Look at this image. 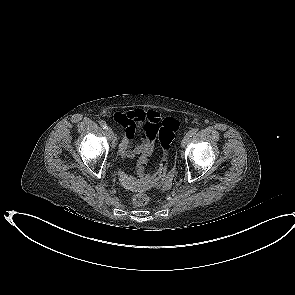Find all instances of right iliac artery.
Returning a JSON list of instances; mask_svg holds the SVG:
<instances>
[{
    "label": "right iliac artery",
    "instance_id": "82829eb1",
    "mask_svg": "<svg viewBox=\"0 0 295 295\" xmlns=\"http://www.w3.org/2000/svg\"><path fill=\"white\" fill-rule=\"evenodd\" d=\"M99 124L101 125V127H102L103 129H107V124H106L105 121L101 120V121L99 122Z\"/></svg>",
    "mask_w": 295,
    "mask_h": 295
}]
</instances>
